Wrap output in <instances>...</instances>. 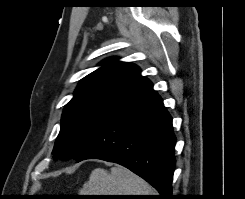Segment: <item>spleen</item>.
Instances as JSON below:
<instances>
[{"instance_id": "3e777b00", "label": "spleen", "mask_w": 245, "mask_h": 199, "mask_svg": "<svg viewBox=\"0 0 245 199\" xmlns=\"http://www.w3.org/2000/svg\"><path fill=\"white\" fill-rule=\"evenodd\" d=\"M81 195H156L152 187L130 170L115 166L110 172L97 168L80 190Z\"/></svg>"}]
</instances>
